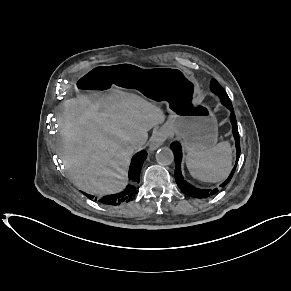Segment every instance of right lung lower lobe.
<instances>
[{
    "instance_id": "obj_1",
    "label": "right lung lower lobe",
    "mask_w": 291,
    "mask_h": 291,
    "mask_svg": "<svg viewBox=\"0 0 291 291\" xmlns=\"http://www.w3.org/2000/svg\"><path fill=\"white\" fill-rule=\"evenodd\" d=\"M147 158V152L142 150L135 154L132 158L130 169H129V183L126 186V188L121 191L120 193L103 196L100 198L94 197L93 195H88L84 193L89 198H94L95 200H98L100 203L109 205V206H115L120 205L125 202H129L134 199L136 194L138 193V183H139V176L140 171L143 165V162Z\"/></svg>"
}]
</instances>
